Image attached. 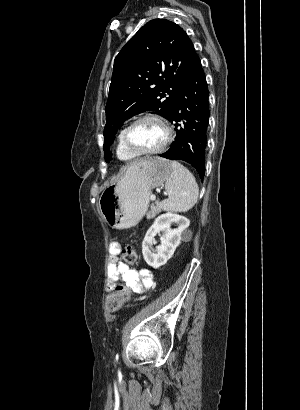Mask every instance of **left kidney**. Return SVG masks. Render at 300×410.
Returning <instances> with one entry per match:
<instances>
[{
	"label": "left kidney",
	"mask_w": 300,
	"mask_h": 410,
	"mask_svg": "<svg viewBox=\"0 0 300 410\" xmlns=\"http://www.w3.org/2000/svg\"><path fill=\"white\" fill-rule=\"evenodd\" d=\"M172 224L176 225L174 229L171 228ZM189 224L188 218L178 214L164 213L158 216L142 242V254L146 263L155 269L165 265L181 243V235ZM160 232L161 245L154 249V237Z\"/></svg>",
	"instance_id": "obj_1"
}]
</instances>
